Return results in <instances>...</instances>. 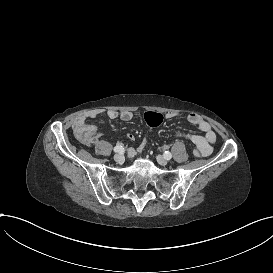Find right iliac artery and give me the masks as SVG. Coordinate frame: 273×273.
Masks as SVG:
<instances>
[{
  "instance_id": "right-iliac-artery-1",
  "label": "right iliac artery",
  "mask_w": 273,
  "mask_h": 273,
  "mask_svg": "<svg viewBox=\"0 0 273 273\" xmlns=\"http://www.w3.org/2000/svg\"><path fill=\"white\" fill-rule=\"evenodd\" d=\"M114 152L123 153L124 152L123 146L117 145L116 147H114Z\"/></svg>"
}]
</instances>
